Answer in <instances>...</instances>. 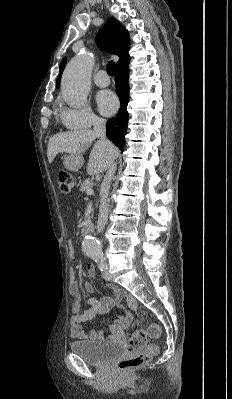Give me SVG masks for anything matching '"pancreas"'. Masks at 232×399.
<instances>
[{
  "mask_svg": "<svg viewBox=\"0 0 232 399\" xmlns=\"http://www.w3.org/2000/svg\"><path fill=\"white\" fill-rule=\"evenodd\" d=\"M94 186L93 180H84L80 186V192H87V190H92Z\"/></svg>",
  "mask_w": 232,
  "mask_h": 399,
  "instance_id": "pancreas-1",
  "label": "pancreas"
}]
</instances>
